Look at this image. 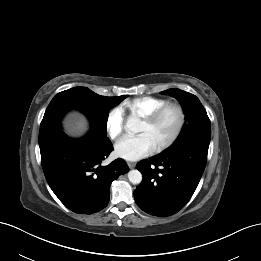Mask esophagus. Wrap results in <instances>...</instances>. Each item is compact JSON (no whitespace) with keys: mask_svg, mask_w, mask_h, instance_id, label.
Returning a JSON list of instances; mask_svg holds the SVG:
<instances>
[{"mask_svg":"<svg viewBox=\"0 0 261 261\" xmlns=\"http://www.w3.org/2000/svg\"><path fill=\"white\" fill-rule=\"evenodd\" d=\"M135 165H136V164H135V163H133V162H128V166H129V168H131V169H132V168H134V167H135Z\"/></svg>","mask_w":261,"mask_h":261,"instance_id":"1","label":"esophagus"}]
</instances>
